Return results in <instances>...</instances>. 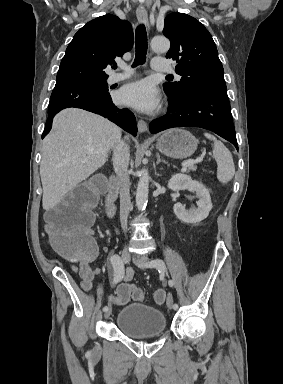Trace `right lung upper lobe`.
Listing matches in <instances>:
<instances>
[{
    "label": "right lung upper lobe",
    "instance_id": "right-lung-upper-lobe-1",
    "mask_svg": "<svg viewBox=\"0 0 283 384\" xmlns=\"http://www.w3.org/2000/svg\"><path fill=\"white\" fill-rule=\"evenodd\" d=\"M133 45L131 25L117 16L106 14L88 22L73 37L63 57L55 88L106 81L103 71L115 63V57Z\"/></svg>",
    "mask_w": 283,
    "mask_h": 384
}]
</instances>
